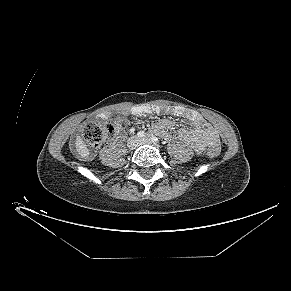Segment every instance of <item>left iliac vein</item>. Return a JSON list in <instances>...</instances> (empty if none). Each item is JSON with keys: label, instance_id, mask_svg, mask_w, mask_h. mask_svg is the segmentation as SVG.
Returning <instances> with one entry per match:
<instances>
[{"label": "left iliac vein", "instance_id": "4c4485c4", "mask_svg": "<svg viewBox=\"0 0 291 291\" xmlns=\"http://www.w3.org/2000/svg\"><path fill=\"white\" fill-rule=\"evenodd\" d=\"M152 144L151 140L150 139H141L139 140V144Z\"/></svg>", "mask_w": 291, "mask_h": 291}]
</instances>
